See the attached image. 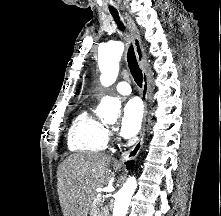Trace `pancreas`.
I'll return each mask as SVG.
<instances>
[{
  "mask_svg": "<svg viewBox=\"0 0 221 216\" xmlns=\"http://www.w3.org/2000/svg\"><path fill=\"white\" fill-rule=\"evenodd\" d=\"M109 211L107 207L101 206V196H95L91 205L90 216H108Z\"/></svg>",
  "mask_w": 221,
  "mask_h": 216,
  "instance_id": "pancreas-1",
  "label": "pancreas"
}]
</instances>
